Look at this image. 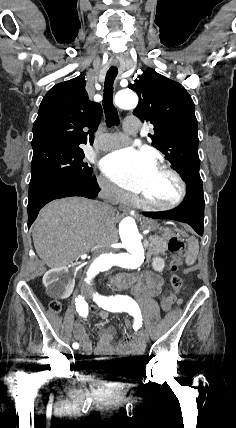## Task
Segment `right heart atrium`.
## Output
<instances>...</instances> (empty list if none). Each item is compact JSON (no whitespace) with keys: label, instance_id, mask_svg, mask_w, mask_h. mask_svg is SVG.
Instances as JSON below:
<instances>
[{"label":"right heart atrium","instance_id":"d8ad5b80","mask_svg":"<svg viewBox=\"0 0 236 428\" xmlns=\"http://www.w3.org/2000/svg\"><path fill=\"white\" fill-rule=\"evenodd\" d=\"M96 184L100 195L106 200H113V202H123L128 198V195L125 192L120 190L117 186H115L103 176H97Z\"/></svg>","mask_w":236,"mask_h":428}]
</instances>
